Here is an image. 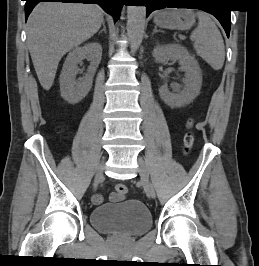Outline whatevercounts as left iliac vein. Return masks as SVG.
<instances>
[{"mask_svg":"<svg viewBox=\"0 0 259 266\" xmlns=\"http://www.w3.org/2000/svg\"><path fill=\"white\" fill-rule=\"evenodd\" d=\"M137 162H138V171H139L142 186H143L147 196L149 198L153 199L154 197L151 194V190H149V188H147V185H149V182H150L147 165L141 157L138 158Z\"/></svg>","mask_w":259,"mask_h":266,"instance_id":"left-iliac-vein-1","label":"left iliac vein"}]
</instances>
